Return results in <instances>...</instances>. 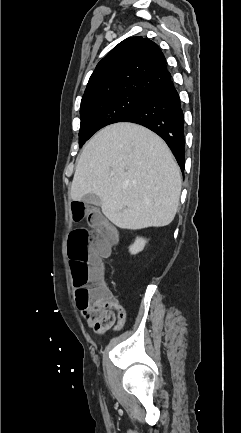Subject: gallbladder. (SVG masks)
<instances>
[{
    "instance_id": "bac80fb5",
    "label": "gallbladder",
    "mask_w": 241,
    "mask_h": 433,
    "mask_svg": "<svg viewBox=\"0 0 241 433\" xmlns=\"http://www.w3.org/2000/svg\"><path fill=\"white\" fill-rule=\"evenodd\" d=\"M83 202L85 204H93V205H99V204H101L100 198L97 195L92 194V193L86 194L83 197Z\"/></svg>"
}]
</instances>
